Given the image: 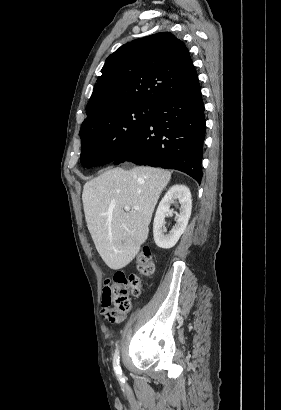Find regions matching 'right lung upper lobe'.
Listing matches in <instances>:
<instances>
[{
	"label": "right lung upper lobe",
	"instance_id": "obj_1",
	"mask_svg": "<svg viewBox=\"0 0 281 410\" xmlns=\"http://www.w3.org/2000/svg\"><path fill=\"white\" fill-rule=\"evenodd\" d=\"M101 73L86 106L84 122L114 108L154 107L198 83L188 49L169 32L124 44L106 59Z\"/></svg>",
	"mask_w": 281,
	"mask_h": 410
}]
</instances>
